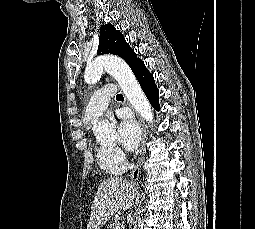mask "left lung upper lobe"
Masks as SVG:
<instances>
[{"instance_id": "obj_1", "label": "left lung upper lobe", "mask_w": 255, "mask_h": 229, "mask_svg": "<svg viewBox=\"0 0 255 229\" xmlns=\"http://www.w3.org/2000/svg\"><path fill=\"white\" fill-rule=\"evenodd\" d=\"M114 54L123 58L132 69L139 58L125 41L122 33L111 24L102 25L97 55Z\"/></svg>"}]
</instances>
